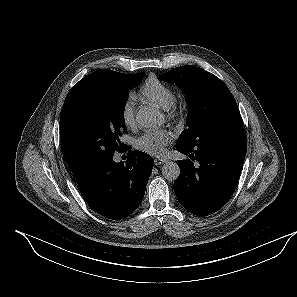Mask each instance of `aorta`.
I'll use <instances>...</instances> for the list:
<instances>
[{
	"label": "aorta",
	"instance_id": "obj_1",
	"mask_svg": "<svg viewBox=\"0 0 297 297\" xmlns=\"http://www.w3.org/2000/svg\"><path fill=\"white\" fill-rule=\"evenodd\" d=\"M136 121L142 127L150 128L159 125L161 123V117L155 108L144 106L137 112ZM162 175L167 180L174 181L180 175V168L175 162H166L162 166Z\"/></svg>",
	"mask_w": 297,
	"mask_h": 297
}]
</instances>
